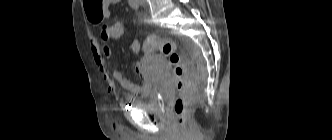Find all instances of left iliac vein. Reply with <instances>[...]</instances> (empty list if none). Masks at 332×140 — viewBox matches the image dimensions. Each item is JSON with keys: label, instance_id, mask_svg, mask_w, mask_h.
<instances>
[{"label": "left iliac vein", "instance_id": "left-iliac-vein-1", "mask_svg": "<svg viewBox=\"0 0 332 140\" xmlns=\"http://www.w3.org/2000/svg\"><path fill=\"white\" fill-rule=\"evenodd\" d=\"M141 4L144 5V0H141Z\"/></svg>", "mask_w": 332, "mask_h": 140}]
</instances>
